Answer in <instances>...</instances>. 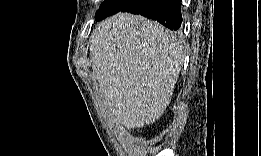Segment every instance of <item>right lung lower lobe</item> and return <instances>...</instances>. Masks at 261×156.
Here are the masks:
<instances>
[{
    "label": "right lung lower lobe",
    "mask_w": 261,
    "mask_h": 156,
    "mask_svg": "<svg viewBox=\"0 0 261 156\" xmlns=\"http://www.w3.org/2000/svg\"><path fill=\"white\" fill-rule=\"evenodd\" d=\"M120 11L141 14L171 30H178L182 23L180 0H132Z\"/></svg>",
    "instance_id": "obj_1"
}]
</instances>
